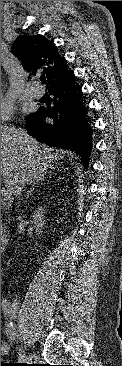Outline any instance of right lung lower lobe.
I'll use <instances>...</instances> for the list:
<instances>
[{
  "label": "right lung lower lobe",
  "mask_w": 122,
  "mask_h": 366,
  "mask_svg": "<svg viewBox=\"0 0 122 366\" xmlns=\"http://www.w3.org/2000/svg\"><path fill=\"white\" fill-rule=\"evenodd\" d=\"M46 109L27 118V133L51 147L73 151L87 168L92 148L91 122L86 119V97L72 73L69 80L48 87Z\"/></svg>",
  "instance_id": "1"
}]
</instances>
